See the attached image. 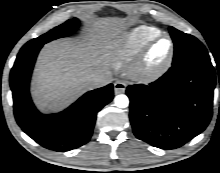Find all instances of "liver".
<instances>
[{
  "mask_svg": "<svg viewBox=\"0 0 220 173\" xmlns=\"http://www.w3.org/2000/svg\"><path fill=\"white\" fill-rule=\"evenodd\" d=\"M124 26V19L103 18L91 23L82 40L58 39L45 44L31 82L36 106L56 111L91 90L90 80L107 71L110 43Z\"/></svg>",
  "mask_w": 220,
  "mask_h": 173,
  "instance_id": "1",
  "label": "liver"
}]
</instances>
